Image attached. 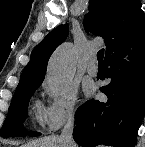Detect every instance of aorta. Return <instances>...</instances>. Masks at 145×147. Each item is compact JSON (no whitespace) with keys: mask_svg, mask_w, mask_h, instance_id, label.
<instances>
[{"mask_svg":"<svg viewBox=\"0 0 145 147\" xmlns=\"http://www.w3.org/2000/svg\"><path fill=\"white\" fill-rule=\"evenodd\" d=\"M76 50L70 43L59 46L50 57L47 80L55 90H63L73 78L76 66Z\"/></svg>","mask_w":145,"mask_h":147,"instance_id":"1","label":"aorta"}]
</instances>
